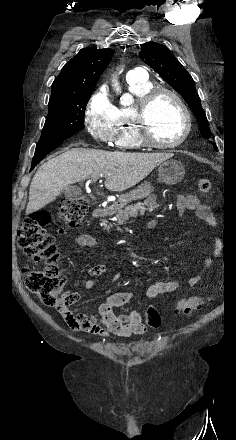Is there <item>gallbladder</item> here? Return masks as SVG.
Returning a JSON list of instances; mask_svg holds the SVG:
<instances>
[{
	"mask_svg": "<svg viewBox=\"0 0 236 440\" xmlns=\"http://www.w3.org/2000/svg\"><path fill=\"white\" fill-rule=\"evenodd\" d=\"M63 193L68 197L77 198L81 195V190L77 186H68L63 189Z\"/></svg>",
	"mask_w": 236,
	"mask_h": 440,
	"instance_id": "1",
	"label": "gallbladder"
}]
</instances>
